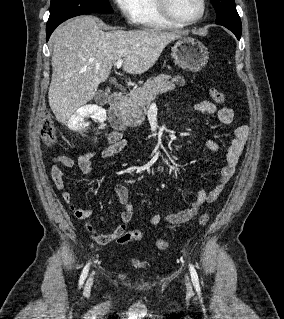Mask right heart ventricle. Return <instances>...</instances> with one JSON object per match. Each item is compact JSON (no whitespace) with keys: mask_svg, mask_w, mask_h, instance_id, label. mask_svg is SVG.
Segmentation results:
<instances>
[{"mask_svg":"<svg viewBox=\"0 0 284 319\" xmlns=\"http://www.w3.org/2000/svg\"><path fill=\"white\" fill-rule=\"evenodd\" d=\"M138 24L145 29L178 27L161 16L156 6V0H141V11Z\"/></svg>","mask_w":284,"mask_h":319,"instance_id":"obj_1","label":"right heart ventricle"}]
</instances>
